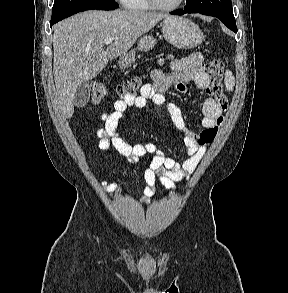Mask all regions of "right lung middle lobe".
I'll list each match as a JSON object with an SVG mask.
<instances>
[{
  "label": "right lung middle lobe",
  "instance_id": "1",
  "mask_svg": "<svg viewBox=\"0 0 288 293\" xmlns=\"http://www.w3.org/2000/svg\"><path fill=\"white\" fill-rule=\"evenodd\" d=\"M118 7L114 0H55L51 22L60 21L85 10H112Z\"/></svg>",
  "mask_w": 288,
  "mask_h": 293
}]
</instances>
